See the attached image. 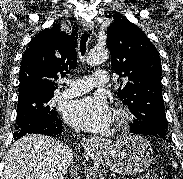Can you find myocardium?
I'll return each instance as SVG.
<instances>
[{"label": "myocardium", "instance_id": "obj_1", "mask_svg": "<svg viewBox=\"0 0 183 179\" xmlns=\"http://www.w3.org/2000/svg\"><path fill=\"white\" fill-rule=\"evenodd\" d=\"M130 121V112L124 106H117L113 110V124L122 127Z\"/></svg>", "mask_w": 183, "mask_h": 179}]
</instances>
